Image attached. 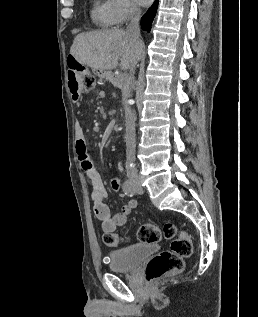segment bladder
<instances>
[{"mask_svg": "<svg viewBox=\"0 0 258 317\" xmlns=\"http://www.w3.org/2000/svg\"><path fill=\"white\" fill-rule=\"evenodd\" d=\"M156 244H133L109 253V266L113 271H130L136 268L144 259L158 252Z\"/></svg>", "mask_w": 258, "mask_h": 317, "instance_id": "1", "label": "bladder"}]
</instances>
